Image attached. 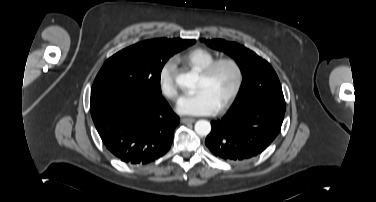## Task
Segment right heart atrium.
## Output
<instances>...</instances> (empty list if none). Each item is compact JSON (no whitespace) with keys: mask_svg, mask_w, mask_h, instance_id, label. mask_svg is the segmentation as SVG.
Listing matches in <instances>:
<instances>
[{"mask_svg":"<svg viewBox=\"0 0 376 202\" xmlns=\"http://www.w3.org/2000/svg\"><path fill=\"white\" fill-rule=\"evenodd\" d=\"M175 63L167 60L158 73V85L161 93L170 100H175L178 96V89L175 82Z\"/></svg>","mask_w":376,"mask_h":202,"instance_id":"right-heart-atrium-1","label":"right heart atrium"}]
</instances>
